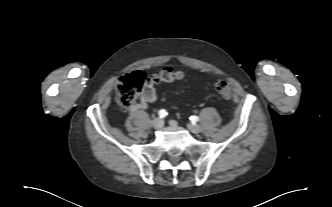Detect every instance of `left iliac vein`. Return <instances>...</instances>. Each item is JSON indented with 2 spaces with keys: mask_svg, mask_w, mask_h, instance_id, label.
Instances as JSON below:
<instances>
[{
  "mask_svg": "<svg viewBox=\"0 0 332 207\" xmlns=\"http://www.w3.org/2000/svg\"><path fill=\"white\" fill-rule=\"evenodd\" d=\"M187 126H188V129L194 134H198L201 132V127L199 125L188 124Z\"/></svg>",
  "mask_w": 332,
  "mask_h": 207,
  "instance_id": "1",
  "label": "left iliac vein"
}]
</instances>
